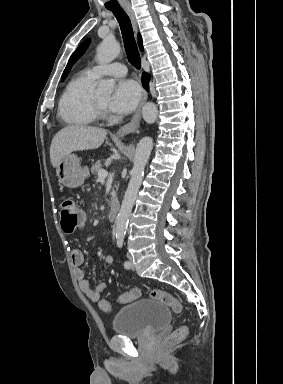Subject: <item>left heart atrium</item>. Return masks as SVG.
<instances>
[{"instance_id": "obj_1", "label": "left heart atrium", "mask_w": 283, "mask_h": 384, "mask_svg": "<svg viewBox=\"0 0 283 384\" xmlns=\"http://www.w3.org/2000/svg\"><path fill=\"white\" fill-rule=\"evenodd\" d=\"M140 90L137 84L128 79L120 80L109 99L108 108L117 114L130 113L138 103Z\"/></svg>"}]
</instances>
